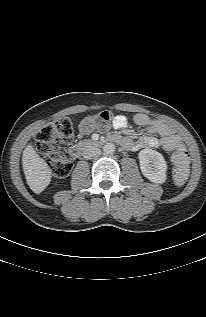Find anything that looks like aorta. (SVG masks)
<instances>
[{"label":"aorta","instance_id":"1","mask_svg":"<svg viewBox=\"0 0 206 317\" xmlns=\"http://www.w3.org/2000/svg\"><path fill=\"white\" fill-rule=\"evenodd\" d=\"M103 151L105 154H113L115 152V145L113 143H106L103 146Z\"/></svg>","mask_w":206,"mask_h":317}]
</instances>
